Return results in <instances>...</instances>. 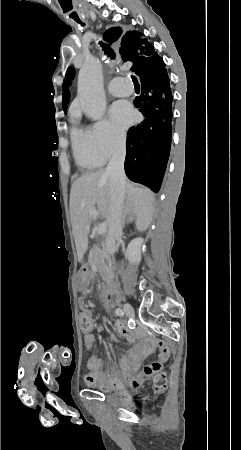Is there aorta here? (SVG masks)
I'll list each match as a JSON object with an SVG mask.
<instances>
[{"mask_svg": "<svg viewBox=\"0 0 241 450\" xmlns=\"http://www.w3.org/2000/svg\"><path fill=\"white\" fill-rule=\"evenodd\" d=\"M78 97L85 115L93 120L102 118L106 109L101 64L87 59L78 75Z\"/></svg>", "mask_w": 241, "mask_h": 450, "instance_id": "762f6f07", "label": "aorta"}]
</instances>
